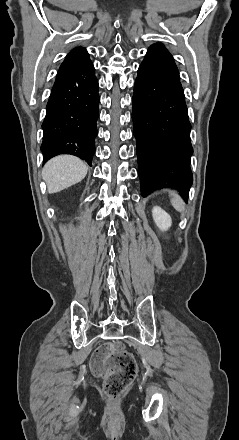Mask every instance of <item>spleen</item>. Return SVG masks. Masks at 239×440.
<instances>
[{
    "mask_svg": "<svg viewBox=\"0 0 239 440\" xmlns=\"http://www.w3.org/2000/svg\"><path fill=\"white\" fill-rule=\"evenodd\" d=\"M167 192H169L171 196V204L173 208H175L177 212H184L185 204L182 198H180L179 194H177V192H174V190H167Z\"/></svg>",
    "mask_w": 239,
    "mask_h": 440,
    "instance_id": "obj_1",
    "label": "spleen"
}]
</instances>
